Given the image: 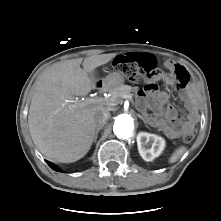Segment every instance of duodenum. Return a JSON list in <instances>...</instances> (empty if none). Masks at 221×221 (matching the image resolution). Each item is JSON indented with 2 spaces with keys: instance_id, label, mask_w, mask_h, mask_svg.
I'll list each match as a JSON object with an SVG mask.
<instances>
[{
  "instance_id": "obj_1",
  "label": "duodenum",
  "mask_w": 221,
  "mask_h": 221,
  "mask_svg": "<svg viewBox=\"0 0 221 221\" xmlns=\"http://www.w3.org/2000/svg\"><path fill=\"white\" fill-rule=\"evenodd\" d=\"M97 86H98V88H100V89H104V88H105V85L102 84V83H98Z\"/></svg>"
}]
</instances>
